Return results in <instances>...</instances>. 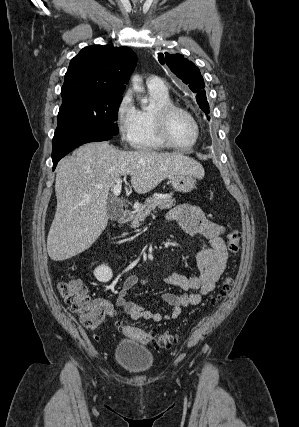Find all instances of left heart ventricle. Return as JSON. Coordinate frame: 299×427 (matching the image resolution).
Listing matches in <instances>:
<instances>
[{
	"instance_id": "b2bd125f",
	"label": "left heart ventricle",
	"mask_w": 299,
	"mask_h": 427,
	"mask_svg": "<svg viewBox=\"0 0 299 427\" xmlns=\"http://www.w3.org/2000/svg\"><path fill=\"white\" fill-rule=\"evenodd\" d=\"M168 133L173 142L186 145L194 140L195 126L189 116L175 111L168 118Z\"/></svg>"
}]
</instances>
